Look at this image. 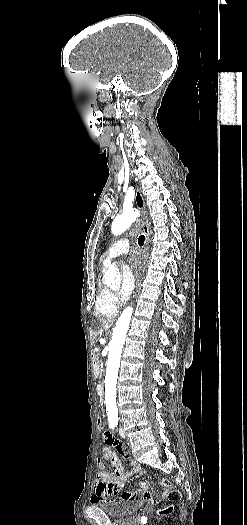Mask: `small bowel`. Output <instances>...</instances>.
<instances>
[{
	"label": "small bowel",
	"instance_id": "c3829d8e",
	"mask_svg": "<svg viewBox=\"0 0 247 525\" xmlns=\"http://www.w3.org/2000/svg\"><path fill=\"white\" fill-rule=\"evenodd\" d=\"M102 439L106 446L103 448L102 458L96 461V493L92 497V502L94 506H112L116 502L114 495L119 492L129 477V473L125 471L121 460V457H128V451L110 431H105L102 434ZM104 461L111 463L112 470L105 469ZM131 466L133 473L139 472L141 468L140 463L135 459L131 460ZM138 485L140 487H137V490H141L145 482L140 480ZM160 486L165 490H169L171 483L168 480H163ZM144 488L146 487L144 486ZM150 494L151 491L149 489L144 490V495H146L144 500L146 502L152 500ZM121 499L130 501L132 504H141L143 495L141 493L125 492L122 494ZM158 510H161V507H158Z\"/></svg>",
	"mask_w": 247,
	"mask_h": 525
}]
</instances>
